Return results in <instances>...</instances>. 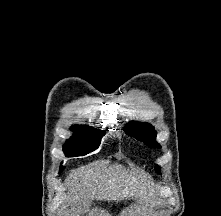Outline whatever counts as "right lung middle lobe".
I'll use <instances>...</instances> for the list:
<instances>
[{
    "label": "right lung middle lobe",
    "instance_id": "right-lung-middle-lobe-1",
    "mask_svg": "<svg viewBox=\"0 0 221 216\" xmlns=\"http://www.w3.org/2000/svg\"><path fill=\"white\" fill-rule=\"evenodd\" d=\"M72 131L75 133L66 141L63 151L67 157L84 156L96 150L105 135V131L90 128L88 126H73ZM63 166H60V171Z\"/></svg>",
    "mask_w": 221,
    "mask_h": 216
}]
</instances>
